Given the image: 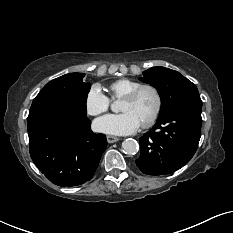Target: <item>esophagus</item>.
Here are the masks:
<instances>
[{
  "label": "esophagus",
  "mask_w": 233,
  "mask_h": 233,
  "mask_svg": "<svg viewBox=\"0 0 233 233\" xmlns=\"http://www.w3.org/2000/svg\"><path fill=\"white\" fill-rule=\"evenodd\" d=\"M107 141H108V143H115V142L119 141V138L116 136L108 135Z\"/></svg>",
  "instance_id": "34e87169"
}]
</instances>
